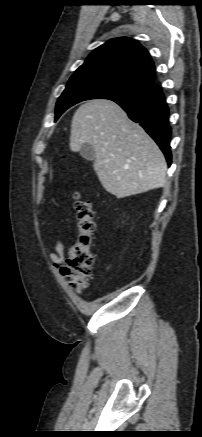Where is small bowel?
<instances>
[{"label": "small bowel", "instance_id": "c3829d8e", "mask_svg": "<svg viewBox=\"0 0 202 437\" xmlns=\"http://www.w3.org/2000/svg\"><path fill=\"white\" fill-rule=\"evenodd\" d=\"M63 234H60L56 240L53 252L49 253V258L55 268H59L64 259V244L62 242Z\"/></svg>", "mask_w": 202, "mask_h": 437}]
</instances>
